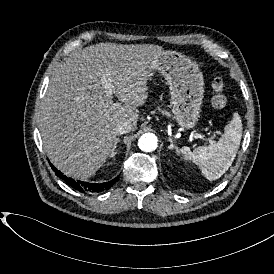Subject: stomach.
<instances>
[{"label": "stomach", "mask_w": 274, "mask_h": 274, "mask_svg": "<svg viewBox=\"0 0 274 274\" xmlns=\"http://www.w3.org/2000/svg\"><path fill=\"white\" fill-rule=\"evenodd\" d=\"M150 67L167 81L177 123L186 129L195 127L204 94V78L198 64L180 52L164 51Z\"/></svg>", "instance_id": "obj_1"}]
</instances>
